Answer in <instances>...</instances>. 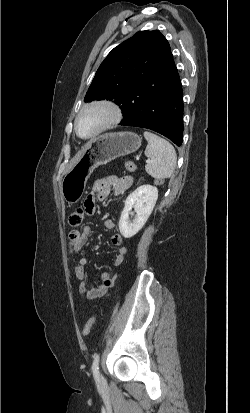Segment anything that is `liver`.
Here are the masks:
<instances>
[{
    "mask_svg": "<svg viewBox=\"0 0 250 413\" xmlns=\"http://www.w3.org/2000/svg\"><path fill=\"white\" fill-rule=\"evenodd\" d=\"M87 147L83 149L79 154L75 157L74 162L86 151Z\"/></svg>",
    "mask_w": 250,
    "mask_h": 413,
    "instance_id": "1",
    "label": "liver"
}]
</instances>
